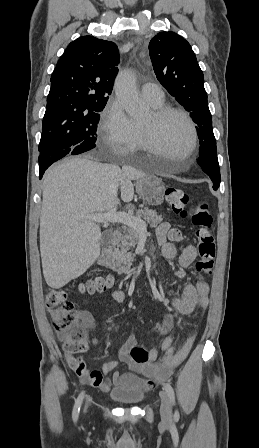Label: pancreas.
Masks as SVG:
<instances>
[{"label": "pancreas", "mask_w": 259, "mask_h": 448, "mask_svg": "<svg viewBox=\"0 0 259 448\" xmlns=\"http://www.w3.org/2000/svg\"><path fill=\"white\" fill-rule=\"evenodd\" d=\"M136 218H140V220L147 222L150 228H155V226H158V224L162 222V216H157L155 210H148V208L137 210ZM123 234L124 236L122 238L121 246H118L120 250H117L116 252V260H118V262H123L125 270H130L132 262H134V256L129 250H132L133 246L138 242L139 232H137V230H132V228H127Z\"/></svg>", "instance_id": "pancreas-1"}]
</instances>
